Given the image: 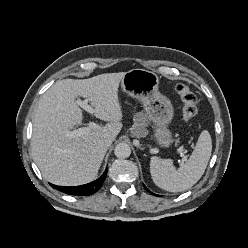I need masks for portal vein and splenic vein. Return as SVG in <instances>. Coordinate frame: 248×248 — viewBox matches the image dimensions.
<instances>
[{
  "label": "portal vein and splenic vein",
  "instance_id": "portal-vein-and-splenic-vein-1",
  "mask_svg": "<svg viewBox=\"0 0 248 248\" xmlns=\"http://www.w3.org/2000/svg\"><path fill=\"white\" fill-rule=\"evenodd\" d=\"M77 104L80 107H82L84 110H86L88 113H90V114L94 113L93 108L90 105H88L87 100H85V101L78 100ZM96 127H97V125L94 122H90L88 127H83V128H79V129L67 132L66 136L71 137V138H76V137H79V136H81L83 134L88 133L90 130L95 129ZM177 151L179 153H182L183 148L180 147V148L177 149Z\"/></svg>",
  "mask_w": 248,
  "mask_h": 248
}]
</instances>
